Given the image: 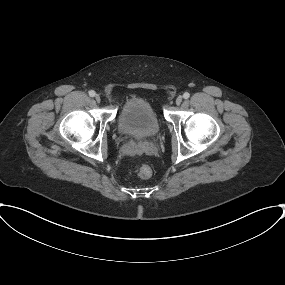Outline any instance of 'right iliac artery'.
I'll return each instance as SVG.
<instances>
[{
	"label": "right iliac artery",
	"instance_id": "right-iliac-artery-1",
	"mask_svg": "<svg viewBox=\"0 0 285 285\" xmlns=\"http://www.w3.org/2000/svg\"><path fill=\"white\" fill-rule=\"evenodd\" d=\"M95 94H96L95 91H93V90L89 91V96L94 97Z\"/></svg>",
	"mask_w": 285,
	"mask_h": 285
}]
</instances>
